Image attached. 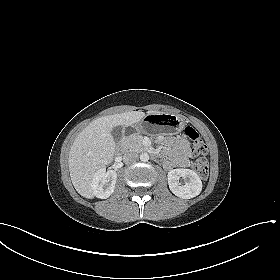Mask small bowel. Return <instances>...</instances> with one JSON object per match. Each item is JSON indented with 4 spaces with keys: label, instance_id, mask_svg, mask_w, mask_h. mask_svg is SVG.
Wrapping results in <instances>:
<instances>
[{
    "label": "small bowel",
    "instance_id": "c3829d8e",
    "mask_svg": "<svg viewBox=\"0 0 280 280\" xmlns=\"http://www.w3.org/2000/svg\"><path fill=\"white\" fill-rule=\"evenodd\" d=\"M166 152L169 156L163 159L162 164L167 170L185 168L192 158L189 142L184 137L171 142L166 148Z\"/></svg>",
    "mask_w": 280,
    "mask_h": 280
}]
</instances>
